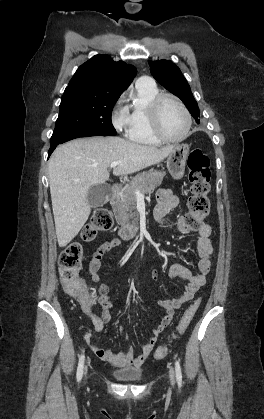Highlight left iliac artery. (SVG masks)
Masks as SVG:
<instances>
[{"label":"left iliac artery","instance_id":"1","mask_svg":"<svg viewBox=\"0 0 264 419\" xmlns=\"http://www.w3.org/2000/svg\"><path fill=\"white\" fill-rule=\"evenodd\" d=\"M175 371H176L177 383L179 385H181L182 384V372H181V367H180L179 361L175 362Z\"/></svg>","mask_w":264,"mask_h":419}]
</instances>
